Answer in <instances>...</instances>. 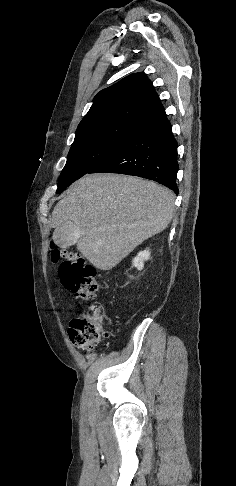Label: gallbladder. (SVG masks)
I'll return each instance as SVG.
<instances>
[{
	"mask_svg": "<svg viewBox=\"0 0 236 486\" xmlns=\"http://www.w3.org/2000/svg\"><path fill=\"white\" fill-rule=\"evenodd\" d=\"M76 233V230L74 229L73 226L69 228H64L62 226L56 228L54 235H53V240L56 245H58L61 248L68 247L73 244L74 240H69V236H74Z\"/></svg>",
	"mask_w": 236,
	"mask_h": 486,
	"instance_id": "obj_1",
	"label": "gallbladder"
}]
</instances>
